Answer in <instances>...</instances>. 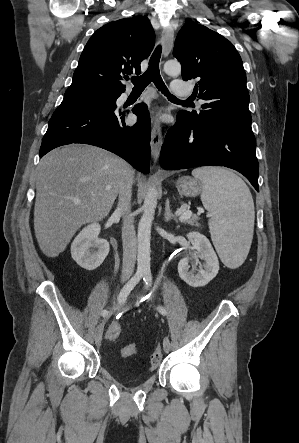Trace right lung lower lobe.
Wrapping results in <instances>:
<instances>
[{"label":"right lung lower lobe","mask_w":299,"mask_h":443,"mask_svg":"<svg viewBox=\"0 0 299 443\" xmlns=\"http://www.w3.org/2000/svg\"><path fill=\"white\" fill-rule=\"evenodd\" d=\"M132 112L138 116V122L126 126L127 111L62 102L49 121L39 156L62 145L90 144L119 155L137 170L147 174L150 171L149 112L143 103L137 104Z\"/></svg>","instance_id":"obj_1"}]
</instances>
